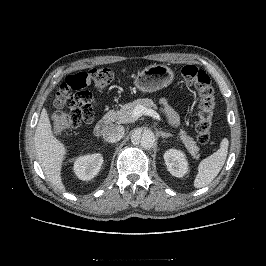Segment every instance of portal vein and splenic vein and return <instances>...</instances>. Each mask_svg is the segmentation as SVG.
<instances>
[{
    "label": "portal vein and splenic vein",
    "instance_id": "1",
    "mask_svg": "<svg viewBox=\"0 0 266 266\" xmlns=\"http://www.w3.org/2000/svg\"><path fill=\"white\" fill-rule=\"evenodd\" d=\"M142 115H148L157 120H161L160 115L153 109L146 108L143 105H137L133 110V117L136 119Z\"/></svg>",
    "mask_w": 266,
    "mask_h": 266
}]
</instances>
